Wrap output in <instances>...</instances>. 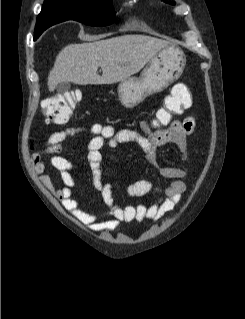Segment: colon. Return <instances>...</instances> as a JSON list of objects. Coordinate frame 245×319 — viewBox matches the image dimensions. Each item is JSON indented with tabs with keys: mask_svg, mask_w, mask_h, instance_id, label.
<instances>
[{
	"mask_svg": "<svg viewBox=\"0 0 245 319\" xmlns=\"http://www.w3.org/2000/svg\"><path fill=\"white\" fill-rule=\"evenodd\" d=\"M186 92L178 90L172 92L165 101V106L158 110L153 122L154 127L167 125L173 116L182 114L189 106L185 104ZM79 99V94L64 93L53 96L44 101L43 111L49 121L63 123L71 116L75 105Z\"/></svg>",
	"mask_w": 245,
	"mask_h": 319,
	"instance_id": "1",
	"label": "colon"
}]
</instances>
